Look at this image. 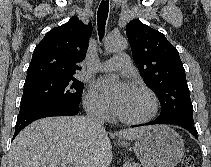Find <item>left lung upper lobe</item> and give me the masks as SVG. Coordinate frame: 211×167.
Returning a JSON list of instances; mask_svg holds the SVG:
<instances>
[{
	"mask_svg": "<svg viewBox=\"0 0 211 167\" xmlns=\"http://www.w3.org/2000/svg\"><path fill=\"white\" fill-rule=\"evenodd\" d=\"M126 34L145 84L160 100L162 114L157 119L194 124L185 69L177 49L164 34L138 19L126 25Z\"/></svg>",
	"mask_w": 211,
	"mask_h": 167,
	"instance_id": "obj_1",
	"label": "left lung upper lobe"
}]
</instances>
